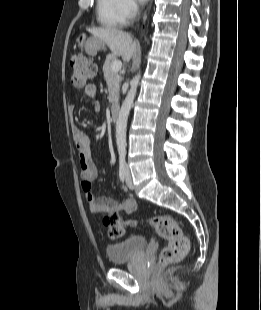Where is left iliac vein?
Returning a JSON list of instances; mask_svg holds the SVG:
<instances>
[{"label":"left iliac vein","mask_w":261,"mask_h":310,"mask_svg":"<svg viewBox=\"0 0 261 310\" xmlns=\"http://www.w3.org/2000/svg\"><path fill=\"white\" fill-rule=\"evenodd\" d=\"M126 184L130 189H133V182L131 177V172L128 166H126Z\"/></svg>","instance_id":"4c4485c4"}]
</instances>
